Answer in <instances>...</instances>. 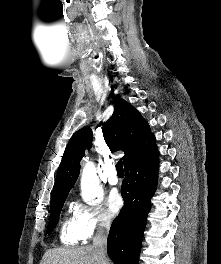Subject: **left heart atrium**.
<instances>
[{"label": "left heart atrium", "instance_id": "obj_1", "mask_svg": "<svg viewBox=\"0 0 221 264\" xmlns=\"http://www.w3.org/2000/svg\"><path fill=\"white\" fill-rule=\"evenodd\" d=\"M123 206V200L121 195L113 190L107 197V207L112 215L117 214Z\"/></svg>", "mask_w": 221, "mask_h": 264}]
</instances>
